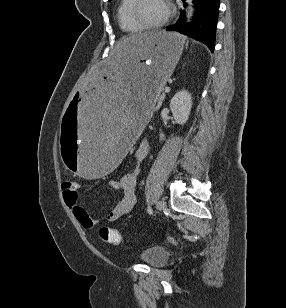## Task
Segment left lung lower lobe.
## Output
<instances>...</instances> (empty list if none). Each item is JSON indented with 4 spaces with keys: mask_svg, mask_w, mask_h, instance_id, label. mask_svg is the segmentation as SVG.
I'll use <instances>...</instances> for the list:
<instances>
[{
    "mask_svg": "<svg viewBox=\"0 0 286 308\" xmlns=\"http://www.w3.org/2000/svg\"><path fill=\"white\" fill-rule=\"evenodd\" d=\"M193 4L195 5V12L192 22L184 23L185 11H181L177 22L167 27V30L178 31L199 40L213 52L219 0H193Z\"/></svg>",
    "mask_w": 286,
    "mask_h": 308,
    "instance_id": "0a47b994",
    "label": "left lung lower lobe"
}]
</instances>
